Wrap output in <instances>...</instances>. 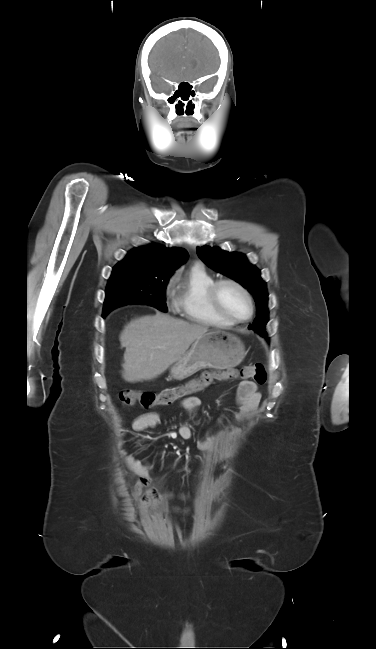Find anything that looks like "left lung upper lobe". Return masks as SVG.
<instances>
[{
	"mask_svg": "<svg viewBox=\"0 0 376 649\" xmlns=\"http://www.w3.org/2000/svg\"><path fill=\"white\" fill-rule=\"evenodd\" d=\"M197 254L209 267L233 278L254 295L257 315L254 323L249 328L260 335H266L268 293L266 283L260 277V270L251 265L245 255L237 252H227L218 247H198Z\"/></svg>",
	"mask_w": 376,
	"mask_h": 649,
	"instance_id": "left-lung-upper-lobe-1",
	"label": "left lung upper lobe"
}]
</instances>
